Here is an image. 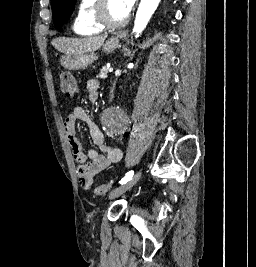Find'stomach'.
<instances>
[{
	"label": "stomach",
	"instance_id": "obj_1",
	"mask_svg": "<svg viewBox=\"0 0 256 267\" xmlns=\"http://www.w3.org/2000/svg\"><path fill=\"white\" fill-rule=\"evenodd\" d=\"M125 34L123 32H115L112 38H108L105 44L102 46L103 52H112L118 48L122 38ZM72 62H59V67H70V70H80V68H87L89 64H93L95 60H98L96 52H88V54H78L74 58H70Z\"/></svg>",
	"mask_w": 256,
	"mask_h": 267
}]
</instances>
